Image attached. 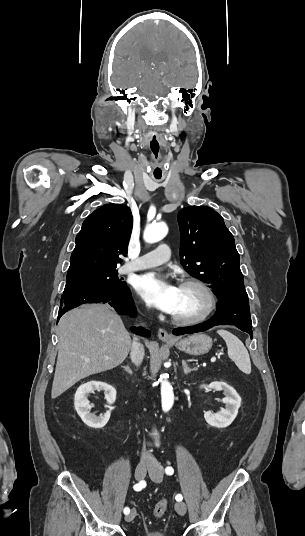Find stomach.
<instances>
[{
	"instance_id": "obj_1",
	"label": "stomach",
	"mask_w": 305,
	"mask_h": 536,
	"mask_svg": "<svg viewBox=\"0 0 305 536\" xmlns=\"http://www.w3.org/2000/svg\"><path fill=\"white\" fill-rule=\"evenodd\" d=\"M174 344L180 352L190 354V356H202L207 354L213 346L212 338L206 336V334H194V336H188L184 340H174Z\"/></svg>"
}]
</instances>
